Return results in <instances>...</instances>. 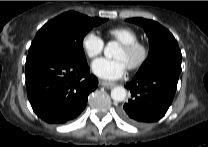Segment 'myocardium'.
Instances as JSON below:
<instances>
[{
	"instance_id": "f54148a6",
	"label": "myocardium",
	"mask_w": 208,
	"mask_h": 147,
	"mask_svg": "<svg viewBox=\"0 0 208 147\" xmlns=\"http://www.w3.org/2000/svg\"><path fill=\"white\" fill-rule=\"evenodd\" d=\"M121 47L128 52L137 53V59L130 66H128L130 70H137L141 68L147 61L150 54L149 47L145 43L138 40L134 42L123 43L121 44Z\"/></svg>"
}]
</instances>
